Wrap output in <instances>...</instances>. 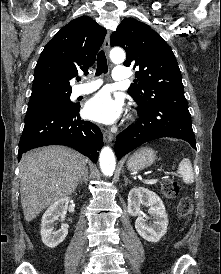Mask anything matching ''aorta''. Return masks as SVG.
Returning <instances> with one entry per match:
<instances>
[{
    "label": "aorta",
    "instance_id": "1",
    "mask_svg": "<svg viewBox=\"0 0 221 274\" xmlns=\"http://www.w3.org/2000/svg\"><path fill=\"white\" fill-rule=\"evenodd\" d=\"M110 59L114 63H122L125 60V52L121 48H114L110 52ZM101 171L106 176H111L115 170V155L111 148L104 147L99 156Z\"/></svg>",
    "mask_w": 221,
    "mask_h": 274
}]
</instances>
